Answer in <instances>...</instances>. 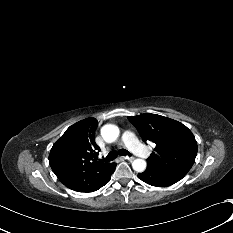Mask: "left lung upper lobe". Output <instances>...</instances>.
Wrapping results in <instances>:
<instances>
[{
  "label": "left lung upper lobe",
  "mask_w": 233,
  "mask_h": 233,
  "mask_svg": "<svg viewBox=\"0 0 233 233\" xmlns=\"http://www.w3.org/2000/svg\"><path fill=\"white\" fill-rule=\"evenodd\" d=\"M128 120L143 141L156 144L147 164L174 178L182 179L194 164L197 142L182 123L157 114L145 113Z\"/></svg>",
  "instance_id": "left-lung-upper-lobe-1"
}]
</instances>
